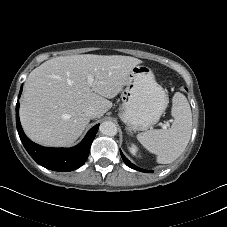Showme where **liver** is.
<instances>
[{
	"instance_id": "obj_1",
	"label": "liver",
	"mask_w": 227,
	"mask_h": 227,
	"mask_svg": "<svg viewBox=\"0 0 227 227\" xmlns=\"http://www.w3.org/2000/svg\"><path fill=\"white\" fill-rule=\"evenodd\" d=\"M141 63L130 56L93 54L44 62L25 82L20 104L24 132L41 145H71L90 121L85 110L94 107L103 116L112 107L108 99L122 91L133 67Z\"/></svg>"
}]
</instances>
